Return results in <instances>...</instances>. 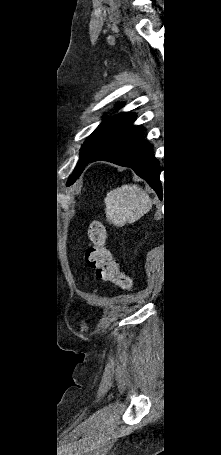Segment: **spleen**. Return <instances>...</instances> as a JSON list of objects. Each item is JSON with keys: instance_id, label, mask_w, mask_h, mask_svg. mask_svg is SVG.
Segmentation results:
<instances>
[{"instance_id": "obj_1", "label": "spleen", "mask_w": 221, "mask_h": 455, "mask_svg": "<svg viewBox=\"0 0 221 455\" xmlns=\"http://www.w3.org/2000/svg\"><path fill=\"white\" fill-rule=\"evenodd\" d=\"M104 202L106 218L118 227L135 222L152 207L149 195L135 184H125L109 191Z\"/></svg>"}]
</instances>
